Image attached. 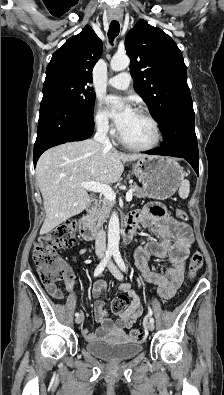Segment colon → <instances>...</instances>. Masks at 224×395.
<instances>
[{"label": "colon", "instance_id": "5ec220e1", "mask_svg": "<svg viewBox=\"0 0 224 395\" xmlns=\"http://www.w3.org/2000/svg\"><path fill=\"white\" fill-rule=\"evenodd\" d=\"M176 215L181 220H187V213L178 209ZM75 223L62 224L49 232L39 236L35 243L33 261L37 267L39 276L45 284H55L65 281L69 277V270L62 259L57 255V250L72 246L75 241ZM203 265V255L200 251H194L189 261V276L194 277ZM128 304L126 296H119L111 303V311L115 314L121 313ZM134 341L145 338L143 329L135 328L130 332Z\"/></svg>", "mask_w": 224, "mask_h": 395}]
</instances>
